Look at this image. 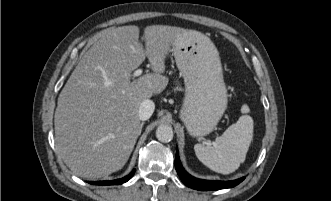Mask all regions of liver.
Here are the masks:
<instances>
[{
    "instance_id": "1",
    "label": "liver",
    "mask_w": 331,
    "mask_h": 201,
    "mask_svg": "<svg viewBox=\"0 0 331 201\" xmlns=\"http://www.w3.org/2000/svg\"><path fill=\"white\" fill-rule=\"evenodd\" d=\"M186 29L152 25L108 28L82 56L58 97L54 115L56 147L77 176L99 178L128 161L142 127V101L168 84L165 60ZM154 73L131 81L145 60Z\"/></svg>"
}]
</instances>
